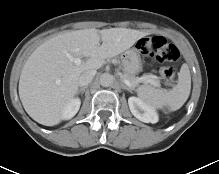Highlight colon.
I'll use <instances>...</instances> for the list:
<instances>
[{"mask_svg": "<svg viewBox=\"0 0 219 174\" xmlns=\"http://www.w3.org/2000/svg\"><path fill=\"white\" fill-rule=\"evenodd\" d=\"M139 50L155 62L161 64L158 72L166 87L174 84L175 65L179 59V51L161 36L143 38L138 42Z\"/></svg>", "mask_w": 219, "mask_h": 174, "instance_id": "obj_1", "label": "colon"}]
</instances>
